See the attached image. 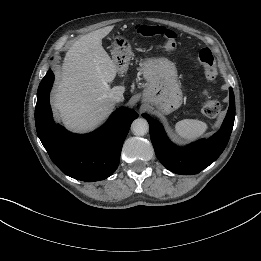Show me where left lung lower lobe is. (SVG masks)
<instances>
[{"mask_svg":"<svg viewBox=\"0 0 261 261\" xmlns=\"http://www.w3.org/2000/svg\"><path fill=\"white\" fill-rule=\"evenodd\" d=\"M230 106L225 120L218 132L205 140H199L186 147H177L172 144L161 124L148 114H143L150 127V137L159 161L170 171L176 174H197L212 164L225 149L235 118V99L230 87Z\"/></svg>","mask_w":261,"mask_h":261,"instance_id":"0a47b994","label":"left lung lower lobe"}]
</instances>
